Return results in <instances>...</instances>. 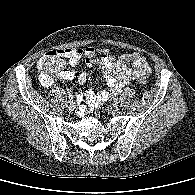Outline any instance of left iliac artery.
I'll use <instances>...</instances> for the list:
<instances>
[{
    "label": "left iliac artery",
    "instance_id": "left-iliac-artery-1",
    "mask_svg": "<svg viewBox=\"0 0 195 195\" xmlns=\"http://www.w3.org/2000/svg\"><path fill=\"white\" fill-rule=\"evenodd\" d=\"M120 92H121V91H120ZM114 101H115L116 103H119V102H120V100H119L118 98H115Z\"/></svg>",
    "mask_w": 195,
    "mask_h": 195
}]
</instances>
